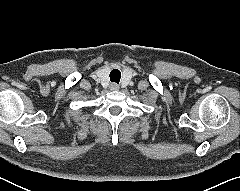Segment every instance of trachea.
<instances>
[{
    "label": "trachea",
    "instance_id": "obj_1",
    "mask_svg": "<svg viewBox=\"0 0 240 191\" xmlns=\"http://www.w3.org/2000/svg\"><path fill=\"white\" fill-rule=\"evenodd\" d=\"M120 78H121V73L119 70L117 69H114L110 72V80L112 82H116V83H119L120 81Z\"/></svg>",
    "mask_w": 240,
    "mask_h": 191
}]
</instances>
